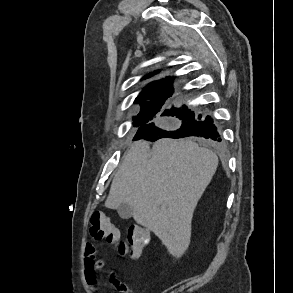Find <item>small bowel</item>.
<instances>
[{"mask_svg":"<svg viewBox=\"0 0 293 293\" xmlns=\"http://www.w3.org/2000/svg\"><path fill=\"white\" fill-rule=\"evenodd\" d=\"M95 251L94 244L87 242L85 245L84 277L91 293L99 292L96 272L105 266V261L102 258H97ZM109 281L118 293H130L129 287L125 283L118 281L114 273L110 274Z\"/></svg>","mask_w":293,"mask_h":293,"instance_id":"small-bowel-1","label":"small bowel"}]
</instances>
